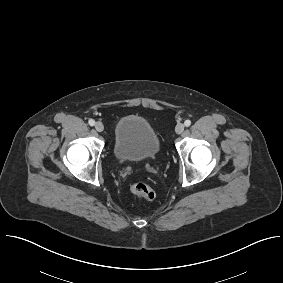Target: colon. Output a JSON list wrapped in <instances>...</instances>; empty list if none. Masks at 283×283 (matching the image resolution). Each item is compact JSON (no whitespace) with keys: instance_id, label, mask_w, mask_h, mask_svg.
<instances>
[{"instance_id":"1","label":"colon","mask_w":283,"mask_h":283,"mask_svg":"<svg viewBox=\"0 0 283 283\" xmlns=\"http://www.w3.org/2000/svg\"><path fill=\"white\" fill-rule=\"evenodd\" d=\"M131 191L146 200H153L156 196L154 189L149 184L142 181L133 183Z\"/></svg>"}]
</instances>
